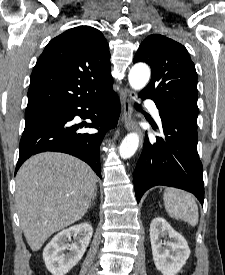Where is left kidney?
<instances>
[{"label": "left kidney", "instance_id": "obj_1", "mask_svg": "<svg viewBox=\"0 0 225 275\" xmlns=\"http://www.w3.org/2000/svg\"><path fill=\"white\" fill-rule=\"evenodd\" d=\"M166 235L171 241L162 243L160 237ZM150 241L156 268L163 275H176L190 256V249L185 238L176 232L164 218L157 217L150 225Z\"/></svg>", "mask_w": 225, "mask_h": 275}]
</instances>
